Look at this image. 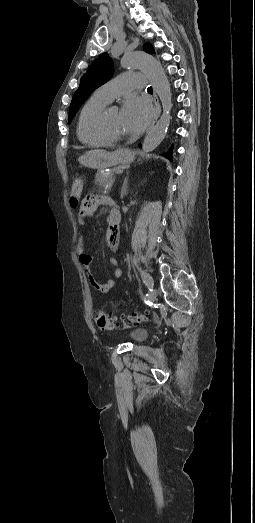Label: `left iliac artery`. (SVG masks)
Returning a JSON list of instances; mask_svg holds the SVG:
<instances>
[{
  "label": "left iliac artery",
  "mask_w": 255,
  "mask_h": 523,
  "mask_svg": "<svg viewBox=\"0 0 255 523\" xmlns=\"http://www.w3.org/2000/svg\"><path fill=\"white\" fill-rule=\"evenodd\" d=\"M141 277H142V279H143V282H144V283L148 286V288H150V290H151V288L153 287V285H152V286L149 285L148 280H147L146 275H145V272H141Z\"/></svg>",
  "instance_id": "1"
}]
</instances>
